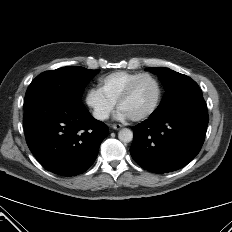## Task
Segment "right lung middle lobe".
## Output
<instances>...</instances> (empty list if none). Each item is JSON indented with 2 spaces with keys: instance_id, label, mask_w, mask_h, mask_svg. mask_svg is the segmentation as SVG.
I'll return each instance as SVG.
<instances>
[{
  "instance_id": "dd1d6c3e",
  "label": "right lung middle lobe",
  "mask_w": 232,
  "mask_h": 232,
  "mask_svg": "<svg viewBox=\"0 0 232 232\" xmlns=\"http://www.w3.org/2000/svg\"><path fill=\"white\" fill-rule=\"evenodd\" d=\"M98 72L79 66L43 72L29 85L24 106L42 99L81 101L86 85Z\"/></svg>"
}]
</instances>
